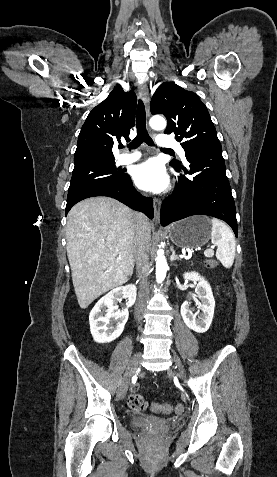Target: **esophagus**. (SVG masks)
Listing matches in <instances>:
<instances>
[{
	"label": "esophagus",
	"mask_w": 277,
	"mask_h": 477,
	"mask_svg": "<svg viewBox=\"0 0 277 477\" xmlns=\"http://www.w3.org/2000/svg\"><path fill=\"white\" fill-rule=\"evenodd\" d=\"M138 91L141 99L144 102L146 114L150 116V108H149V91L148 87L145 83H140L138 86ZM153 206H154V218L156 221L160 219V209H161V200L159 198L153 199Z\"/></svg>",
	"instance_id": "esophagus-1"
}]
</instances>
